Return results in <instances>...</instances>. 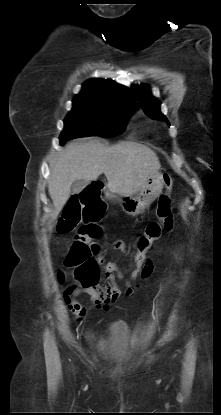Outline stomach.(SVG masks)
<instances>
[{
	"instance_id": "0dacf381",
	"label": "stomach",
	"mask_w": 221,
	"mask_h": 415,
	"mask_svg": "<svg viewBox=\"0 0 221 415\" xmlns=\"http://www.w3.org/2000/svg\"><path fill=\"white\" fill-rule=\"evenodd\" d=\"M163 185L164 180L162 174L156 173L147 179L143 187L135 195L117 196L107 192L106 197L118 202L126 214L136 216L143 213L160 195Z\"/></svg>"
}]
</instances>
